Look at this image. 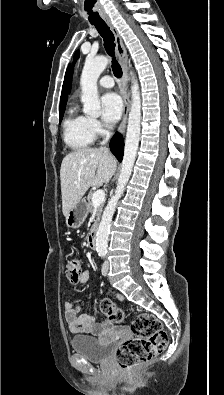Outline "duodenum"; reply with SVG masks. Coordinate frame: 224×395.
Returning <instances> with one entry per match:
<instances>
[{
  "label": "duodenum",
  "instance_id": "obj_1",
  "mask_svg": "<svg viewBox=\"0 0 224 395\" xmlns=\"http://www.w3.org/2000/svg\"><path fill=\"white\" fill-rule=\"evenodd\" d=\"M98 231H99V224H98V222H94V224L92 225V228H91V232L88 237V245L92 249L96 248Z\"/></svg>",
  "mask_w": 224,
  "mask_h": 395
}]
</instances>
